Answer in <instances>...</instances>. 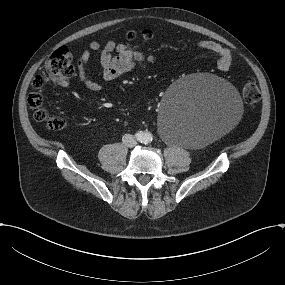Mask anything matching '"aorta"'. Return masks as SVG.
Wrapping results in <instances>:
<instances>
[{
    "label": "aorta",
    "instance_id": "obj_1",
    "mask_svg": "<svg viewBox=\"0 0 285 285\" xmlns=\"http://www.w3.org/2000/svg\"><path fill=\"white\" fill-rule=\"evenodd\" d=\"M150 141H152V134L150 132L143 133L141 137V142L149 143Z\"/></svg>",
    "mask_w": 285,
    "mask_h": 285
}]
</instances>
